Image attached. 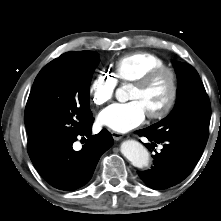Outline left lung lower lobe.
<instances>
[{
	"label": "left lung lower lobe",
	"mask_w": 221,
	"mask_h": 221,
	"mask_svg": "<svg viewBox=\"0 0 221 221\" xmlns=\"http://www.w3.org/2000/svg\"><path fill=\"white\" fill-rule=\"evenodd\" d=\"M137 133L152 141L151 145L145 144L149 150L156 146L155 143L163 144L161 152L153 155V167L138 171L144 183L155 190L167 189L183 181L192 172L205 148L186 139L156 138L150 127Z\"/></svg>",
	"instance_id": "left-lung-lower-lobe-1"
}]
</instances>
